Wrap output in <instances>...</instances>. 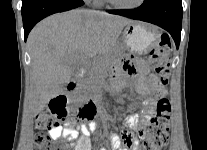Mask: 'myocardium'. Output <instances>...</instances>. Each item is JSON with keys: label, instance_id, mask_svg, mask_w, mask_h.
<instances>
[{"label": "myocardium", "instance_id": "obj_1", "mask_svg": "<svg viewBox=\"0 0 207 150\" xmlns=\"http://www.w3.org/2000/svg\"><path fill=\"white\" fill-rule=\"evenodd\" d=\"M110 5L114 6L115 8L121 9V10H134L137 8H140L146 0H138L137 3L132 5H122L116 2L115 0H106Z\"/></svg>", "mask_w": 207, "mask_h": 150}]
</instances>
